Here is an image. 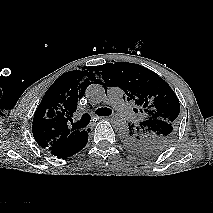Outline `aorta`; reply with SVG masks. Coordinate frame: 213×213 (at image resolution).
Returning a JSON list of instances; mask_svg holds the SVG:
<instances>
[{"instance_id":"1","label":"aorta","mask_w":213,"mask_h":213,"mask_svg":"<svg viewBox=\"0 0 213 213\" xmlns=\"http://www.w3.org/2000/svg\"><path fill=\"white\" fill-rule=\"evenodd\" d=\"M86 94L91 101L100 102L104 99L105 90L100 84H92L87 88ZM112 124L119 130L126 128V120L121 115L113 116Z\"/></svg>"}]
</instances>
